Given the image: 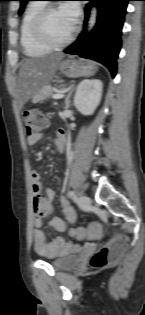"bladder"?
Here are the masks:
<instances>
[{
    "label": "bladder",
    "instance_id": "31cf9c89",
    "mask_svg": "<svg viewBox=\"0 0 145 315\" xmlns=\"http://www.w3.org/2000/svg\"><path fill=\"white\" fill-rule=\"evenodd\" d=\"M49 263L58 270L74 268L79 263V257L75 253L64 254L61 257L49 259Z\"/></svg>",
    "mask_w": 145,
    "mask_h": 315
}]
</instances>
